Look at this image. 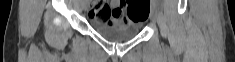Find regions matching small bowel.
I'll return each instance as SVG.
<instances>
[{
	"label": "small bowel",
	"mask_w": 235,
	"mask_h": 62,
	"mask_svg": "<svg viewBox=\"0 0 235 62\" xmlns=\"http://www.w3.org/2000/svg\"><path fill=\"white\" fill-rule=\"evenodd\" d=\"M89 18L93 22H100L107 26H114L118 24L132 25L134 23L127 20L126 16L121 20V1L112 0L110 6L101 8L98 5L92 7L89 11Z\"/></svg>",
	"instance_id": "obj_1"
}]
</instances>
